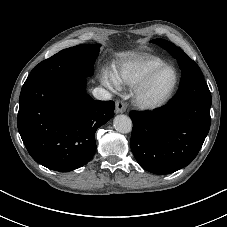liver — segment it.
Segmentation results:
<instances>
[{
    "label": "liver",
    "mask_w": 227,
    "mask_h": 227,
    "mask_svg": "<svg viewBox=\"0 0 227 227\" xmlns=\"http://www.w3.org/2000/svg\"><path fill=\"white\" fill-rule=\"evenodd\" d=\"M133 55H134V53L133 52H130V51H127V52H119L117 54V56H119L121 58H127V57H131Z\"/></svg>",
    "instance_id": "6515ba94"
}]
</instances>
